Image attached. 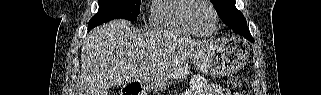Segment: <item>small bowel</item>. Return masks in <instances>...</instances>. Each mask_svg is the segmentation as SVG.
Here are the masks:
<instances>
[{
  "mask_svg": "<svg viewBox=\"0 0 321 95\" xmlns=\"http://www.w3.org/2000/svg\"><path fill=\"white\" fill-rule=\"evenodd\" d=\"M202 90L194 93V95H224L227 93L224 92V90L216 84H203Z\"/></svg>",
  "mask_w": 321,
  "mask_h": 95,
  "instance_id": "small-bowel-1",
  "label": "small bowel"
}]
</instances>
